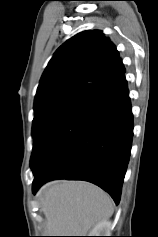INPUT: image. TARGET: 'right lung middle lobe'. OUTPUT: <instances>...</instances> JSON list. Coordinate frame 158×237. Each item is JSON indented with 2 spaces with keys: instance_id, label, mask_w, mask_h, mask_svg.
Here are the masks:
<instances>
[{
  "instance_id": "right-lung-middle-lobe-1",
  "label": "right lung middle lobe",
  "mask_w": 158,
  "mask_h": 237,
  "mask_svg": "<svg viewBox=\"0 0 158 237\" xmlns=\"http://www.w3.org/2000/svg\"><path fill=\"white\" fill-rule=\"evenodd\" d=\"M83 103L71 97H57L34 104L33 151L31 160L38 150L41 141Z\"/></svg>"
}]
</instances>
